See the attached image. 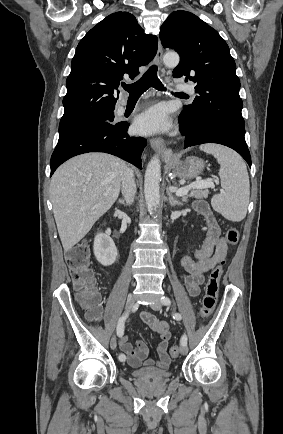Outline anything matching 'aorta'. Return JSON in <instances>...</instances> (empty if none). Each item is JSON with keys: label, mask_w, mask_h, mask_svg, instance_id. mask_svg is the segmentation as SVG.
I'll return each instance as SVG.
<instances>
[{"label": "aorta", "mask_w": 283, "mask_h": 434, "mask_svg": "<svg viewBox=\"0 0 283 434\" xmlns=\"http://www.w3.org/2000/svg\"><path fill=\"white\" fill-rule=\"evenodd\" d=\"M179 60L180 58L177 53H167L163 57L165 65L170 67L178 65ZM160 180L161 163L158 156H154L148 163L144 180L145 200L150 214H153L160 204Z\"/></svg>", "instance_id": "762f6f07"}]
</instances>
